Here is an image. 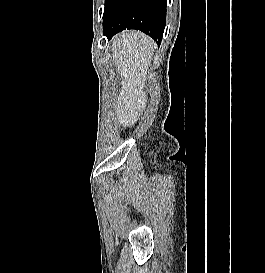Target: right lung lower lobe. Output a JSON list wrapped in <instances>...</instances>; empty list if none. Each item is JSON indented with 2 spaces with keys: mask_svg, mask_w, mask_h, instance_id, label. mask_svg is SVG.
<instances>
[{
  "mask_svg": "<svg viewBox=\"0 0 265 273\" xmlns=\"http://www.w3.org/2000/svg\"><path fill=\"white\" fill-rule=\"evenodd\" d=\"M167 0H114L103 21L109 39L125 29H137L161 43L166 25Z\"/></svg>",
  "mask_w": 265,
  "mask_h": 273,
  "instance_id": "1",
  "label": "right lung lower lobe"
}]
</instances>
